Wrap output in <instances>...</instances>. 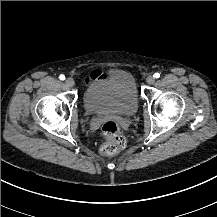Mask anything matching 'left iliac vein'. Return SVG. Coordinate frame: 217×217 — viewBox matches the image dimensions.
Masks as SVG:
<instances>
[{
    "label": "left iliac vein",
    "instance_id": "1",
    "mask_svg": "<svg viewBox=\"0 0 217 217\" xmlns=\"http://www.w3.org/2000/svg\"><path fill=\"white\" fill-rule=\"evenodd\" d=\"M146 82H147L149 85L154 84V82H155V77H154L153 75H148L147 78H146Z\"/></svg>",
    "mask_w": 217,
    "mask_h": 217
}]
</instances>
